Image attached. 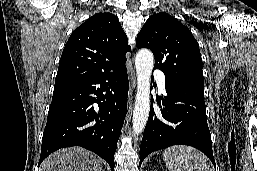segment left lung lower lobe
Masks as SVG:
<instances>
[{"label": "left lung lower lobe", "instance_id": "0a47b994", "mask_svg": "<svg viewBox=\"0 0 257 171\" xmlns=\"http://www.w3.org/2000/svg\"><path fill=\"white\" fill-rule=\"evenodd\" d=\"M165 88L167 95L162 97L165 107H161V114L155 113L153 107L150 109L140 147L139 165L154 151L172 145H189L202 151L216 167L204 91L169 76H166Z\"/></svg>", "mask_w": 257, "mask_h": 171}]
</instances>
